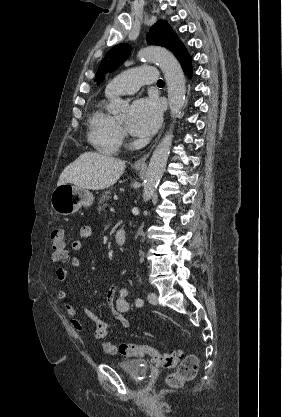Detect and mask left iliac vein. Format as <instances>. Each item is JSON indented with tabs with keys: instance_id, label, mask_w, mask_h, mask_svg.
Here are the masks:
<instances>
[{
	"instance_id": "obj_1",
	"label": "left iliac vein",
	"mask_w": 282,
	"mask_h": 417,
	"mask_svg": "<svg viewBox=\"0 0 282 417\" xmlns=\"http://www.w3.org/2000/svg\"><path fill=\"white\" fill-rule=\"evenodd\" d=\"M147 299L152 305L158 304V297L156 293H149Z\"/></svg>"
}]
</instances>
